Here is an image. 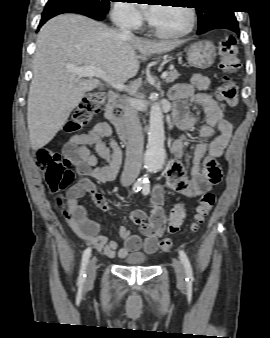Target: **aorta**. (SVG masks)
Returning <instances> with one entry per match:
<instances>
[{
  "label": "aorta",
  "instance_id": "1",
  "mask_svg": "<svg viewBox=\"0 0 270 338\" xmlns=\"http://www.w3.org/2000/svg\"><path fill=\"white\" fill-rule=\"evenodd\" d=\"M163 112L158 103H153L150 110L148 143L145 153V166L148 172L161 170L165 164Z\"/></svg>",
  "mask_w": 270,
  "mask_h": 338
}]
</instances>
